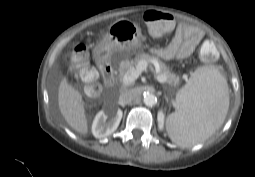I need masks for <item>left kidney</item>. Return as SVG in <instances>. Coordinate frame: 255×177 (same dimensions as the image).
I'll list each match as a JSON object with an SVG mask.
<instances>
[{"instance_id": "5707ae66", "label": "left kidney", "mask_w": 255, "mask_h": 177, "mask_svg": "<svg viewBox=\"0 0 255 177\" xmlns=\"http://www.w3.org/2000/svg\"><path fill=\"white\" fill-rule=\"evenodd\" d=\"M158 122H159L160 126L163 125V123H164V114H163V112L158 113Z\"/></svg>"}]
</instances>
